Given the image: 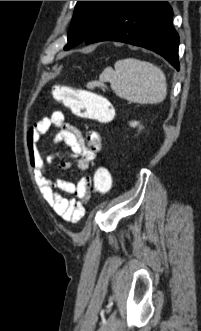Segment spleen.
Here are the masks:
<instances>
[{
  "label": "spleen",
  "instance_id": "3e777b00",
  "mask_svg": "<svg viewBox=\"0 0 201 331\" xmlns=\"http://www.w3.org/2000/svg\"><path fill=\"white\" fill-rule=\"evenodd\" d=\"M114 68H106L100 75V84L110 82L120 98L140 104H158L167 94L163 71L152 63L135 58L118 60Z\"/></svg>",
  "mask_w": 201,
  "mask_h": 331
}]
</instances>
